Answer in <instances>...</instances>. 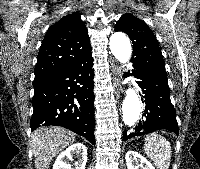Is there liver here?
Listing matches in <instances>:
<instances>
[{
    "mask_svg": "<svg viewBox=\"0 0 200 169\" xmlns=\"http://www.w3.org/2000/svg\"><path fill=\"white\" fill-rule=\"evenodd\" d=\"M75 142L73 132L58 126L40 127L31 135L35 169H49L53 157Z\"/></svg>",
    "mask_w": 200,
    "mask_h": 169,
    "instance_id": "obj_1",
    "label": "liver"
}]
</instances>
